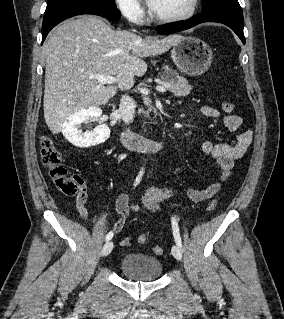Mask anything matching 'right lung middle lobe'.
Here are the masks:
<instances>
[{"label":"right lung middle lobe","instance_id":"obj_1","mask_svg":"<svg viewBox=\"0 0 284 319\" xmlns=\"http://www.w3.org/2000/svg\"><path fill=\"white\" fill-rule=\"evenodd\" d=\"M114 0H47L44 17L71 7H114Z\"/></svg>","mask_w":284,"mask_h":319}]
</instances>
